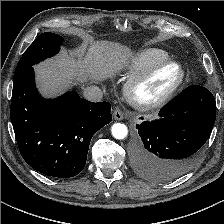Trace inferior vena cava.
Here are the masks:
<instances>
[{"instance_id":"obj_1","label":"inferior vena cava","mask_w":224,"mask_h":224,"mask_svg":"<svg viewBox=\"0 0 224 224\" xmlns=\"http://www.w3.org/2000/svg\"><path fill=\"white\" fill-rule=\"evenodd\" d=\"M83 96L88 101L99 102L103 97V92L98 86H90L84 89Z\"/></svg>"}]
</instances>
